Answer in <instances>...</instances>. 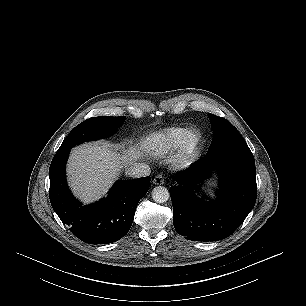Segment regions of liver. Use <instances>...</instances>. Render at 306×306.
Instances as JSON below:
<instances>
[{
  "instance_id": "6515ba94",
  "label": "liver",
  "mask_w": 306,
  "mask_h": 306,
  "mask_svg": "<svg viewBox=\"0 0 306 306\" xmlns=\"http://www.w3.org/2000/svg\"><path fill=\"white\" fill-rule=\"evenodd\" d=\"M158 154L161 136L145 139L139 147H130L123 155L117 154L112 145L105 142L88 143L74 148L68 162L69 182L74 193L85 203L104 196L121 168L131 165L142 152Z\"/></svg>"
}]
</instances>
